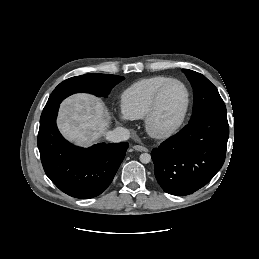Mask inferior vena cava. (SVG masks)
<instances>
[{
	"instance_id": "1",
	"label": "inferior vena cava",
	"mask_w": 259,
	"mask_h": 259,
	"mask_svg": "<svg viewBox=\"0 0 259 259\" xmlns=\"http://www.w3.org/2000/svg\"><path fill=\"white\" fill-rule=\"evenodd\" d=\"M130 132L124 127H116L114 130L107 132L106 139L111 142H122L128 140Z\"/></svg>"
}]
</instances>
